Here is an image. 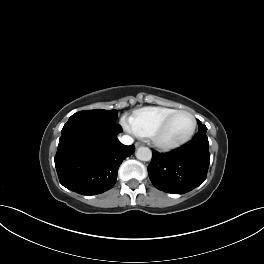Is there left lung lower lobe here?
<instances>
[{
    "label": "left lung lower lobe",
    "instance_id": "0a47b994",
    "mask_svg": "<svg viewBox=\"0 0 264 264\" xmlns=\"http://www.w3.org/2000/svg\"><path fill=\"white\" fill-rule=\"evenodd\" d=\"M205 133L198 132L187 144L168 153L153 151L148 174L159 190L183 194L201 185L207 175L210 154Z\"/></svg>",
    "mask_w": 264,
    "mask_h": 264
}]
</instances>
